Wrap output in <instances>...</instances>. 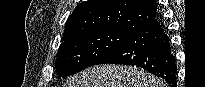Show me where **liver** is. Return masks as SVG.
<instances>
[{
	"instance_id": "obj_1",
	"label": "liver",
	"mask_w": 205,
	"mask_h": 87,
	"mask_svg": "<svg viewBox=\"0 0 205 87\" xmlns=\"http://www.w3.org/2000/svg\"><path fill=\"white\" fill-rule=\"evenodd\" d=\"M66 87H163V82L141 69L107 64L75 74Z\"/></svg>"
}]
</instances>
